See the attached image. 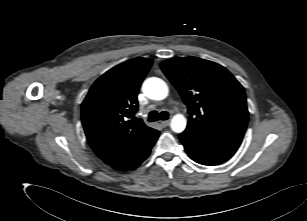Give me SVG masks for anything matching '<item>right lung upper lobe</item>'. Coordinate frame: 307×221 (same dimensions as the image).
Wrapping results in <instances>:
<instances>
[{
	"instance_id": "1",
	"label": "right lung upper lobe",
	"mask_w": 307,
	"mask_h": 221,
	"mask_svg": "<svg viewBox=\"0 0 307 221\" xmlns=\"http://www.w3.org/2000/svg\"><path fill=\"white\" fill-rule=\"evenodd\" d=\"M153 61L135 58L104 73L82 103L81 117L93 151L114 165L140 147L154 133L136 119L137 94Z\"/></svg>"
}]
</instances>
